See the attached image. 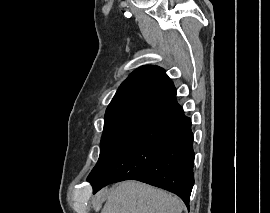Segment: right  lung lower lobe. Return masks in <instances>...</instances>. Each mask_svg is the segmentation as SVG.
Segmentation results:
<instances>
[{
	"instance_id": "1",
	"label": "right lung lower lobe",
	"mask_w": 270,
	"mask_h": 213,
	"mask_svg": "<svg viewBox=\"0 0 270 213\" xmlns=\"http://www.w3.org/2000/svg\"><path fill=\"white\" fill-rule=\"evenodd\" d=\"M193 166L191 119L174 97L155 106L89 182L96 192L110 183L138 180L177 194L189 207Z\"/></svg>"
}]
</instances>
